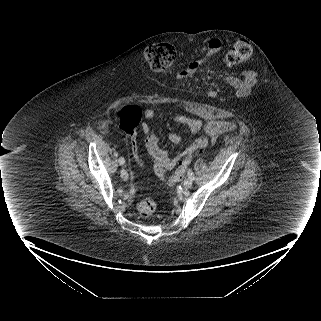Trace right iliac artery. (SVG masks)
Here are the masks:
<instances>
[{
    "label": "right iliac artery",
    "mask_w": 321,
    "mask_h": 321,
    "mask_svg": "<svg viewBox=\"0 0 321 321\" xmlns=\"http://www.w3.org/2000/svg\"><path fill=\"white\" fill-rule=\"evenodd\" d=\"M118 162L120 165H123L125 163V160H124V158L121 157V158H119Z\"/></svg>",
    "instance_id": "obj_1"
}]
</instances>
